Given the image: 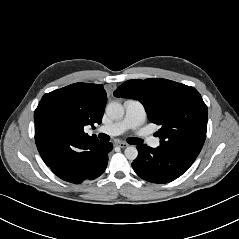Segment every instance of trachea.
Segmentation results:
<instances>
[{
    "instance_id": "3493384b",
    "label": "trachea",
    "mask_w": 239,
    "mask_h": 239,
    "mask_svg": "<svg viewBox=\"0 0 239 239\" xmlns=\"http://www.w3.org/2000/svg\"><path fill=\"white\" fill-rule=\"evenodd\" d=\"M99 138L101 140H105V141H108L110 139V137L108 135L103 134V133L99 134ZM128 142L130 144L137 145V144H141L143 142V140L140 138H129Z\"/></svg>"
}]
</instances>
